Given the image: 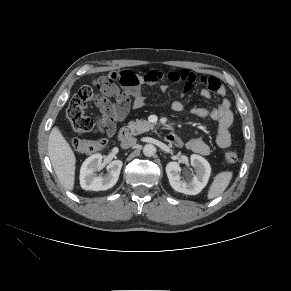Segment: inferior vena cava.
Listing matches in <instances>:
<instances>
[{
    "label": "inferior vena cava",
    "instance_id": "obj_1",
    "mask_svg": "<svg viewBox=\"0 0 291 291\" xmlns=\"http://www.w3.org/2000/svg\"><path fill=\"white\" fill-rule=\"evenodd\" d=\"M137 142V139L135 137H132V136H129V137H126L122 140L121 142V147L123 149H128L132 146H134Z\"/></svg>",
    "mask_w": 291,
    "mask_h": 291
}]
</instances>
